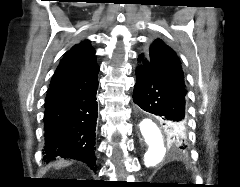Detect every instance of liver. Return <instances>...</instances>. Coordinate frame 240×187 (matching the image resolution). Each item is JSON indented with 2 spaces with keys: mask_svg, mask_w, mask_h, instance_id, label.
<instances>
[{
  "mask_svg": "<svg viewBox=\"0 0 240 187\" xmlns=\"http://www.w3.org/2000/svg\"><path fill=\"white\" fill-rule=\"evenodd\" d=\"M69 164V162L68 161H65V160H58V161H56L55 163H53V166H55V167H61V166H64V165H68Z\"/></svg>",
  "mask_w": 240,
  "mask_h": 187,
  "instance_id": "obj_1",
  "label": "liver"
}]
</instances>
